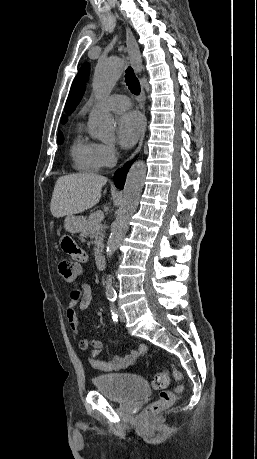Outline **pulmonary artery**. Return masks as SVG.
Masks as SVG:
<instances>
[{
	"label": "pulmonary artery",
	"instance_id": "e3ab8cb5",
	"mask_svg": "<svg viewBox=\"0 0 257 459\" xmlns=\"http://www.w3.org/2000/svg\"><path fill=\"white\" fill-rule=\"evenodd\" d=\"M105 106L112 111H124L130 107V101L125 95L112 94L106 99Z\"/></svg>",
	"mask_w": 257,
	"mask_h": 459
}]
</instances>
